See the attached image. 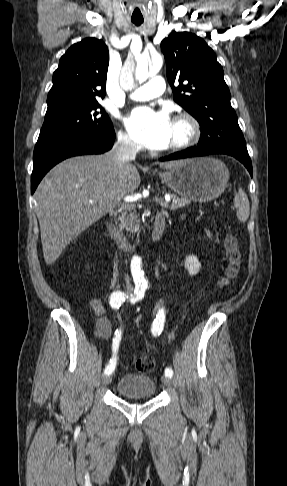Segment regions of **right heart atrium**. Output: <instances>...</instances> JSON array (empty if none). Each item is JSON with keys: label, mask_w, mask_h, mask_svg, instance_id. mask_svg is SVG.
Instances as JSON below:
<instances>
[{"label": "right heart atrium", "mask_w": 287, "mask_h": 486, "mask_svg": "<svg viewBox=\"0 0 287 486\" xmlns=\"http://www.w3.org/2000/svg\"><path fill=\"white\" fill-rule=\"evenodd\" d=\"M117 140L118 143L125 149L134 150L137 148L136 144L133 142L130 136L124 131L120 130L117 133Z\"/></svg>", "instance_id": "1"}]
</instances>
